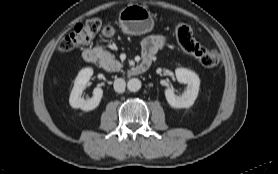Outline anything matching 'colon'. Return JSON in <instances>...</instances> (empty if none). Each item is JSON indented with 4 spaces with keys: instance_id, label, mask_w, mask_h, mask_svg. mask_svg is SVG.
<instances>
[{
    "instance_id": "1",
    "label": "colon",
    "mask_w": 278,
    "mask_h": 174,
    "mask_svg": "<svg viewBox=\"0 0 278 174\" xmlns=\"http://www.w3.org/2000/svg\"><path fill=\"white\" fill-rule=\"evenodd\" d=\"M102 22L99 18H91L77 24L74 29L64 36L59 45L60 53L70 52L91 42L100 30ZM176 39L180 48L187 54L194 56L205 67H215L221 60L217 50H211L201 45L194 36L192 28L187 24H179L176 28Z\"/></svg>"
}]
</instances>
